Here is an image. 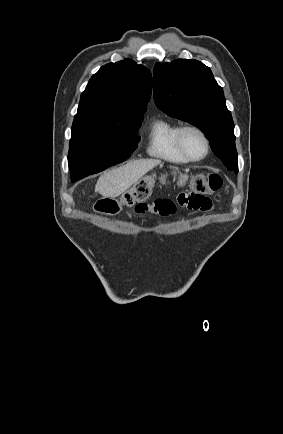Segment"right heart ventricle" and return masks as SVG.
I'll return each mask as SVG.
<instances>
[{
  "label": "right heart ventricle",
  "instance_id": "1",
  "mask_svg": "<svg viewBox=\"0 0 283 434\" xmlns=\"http://www.w3.org/2000/svg\"><path fill=\"white\" fill-rule=\"evenodd\" d=\"M181 126L170 119L156 118L152 121L146 146L148 155L174 164L188 162L180 153L176 143L177 131Z\"/></svg>",
  "mask_w": 283,
  "mask_h": 434
}]
</instances>
